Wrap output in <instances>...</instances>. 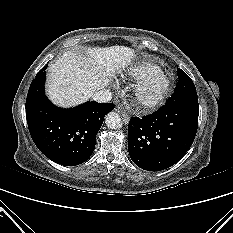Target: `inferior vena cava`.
<instances>
[{"label":"inferior vena cava","mask_w":233,"mask_h":233,"mask_svg":"<svg viewBox=\"0 0 233 233\" xmlns=\"http://www.w3.org/2000/svg\"><path fill=\"white\" fill-rule=\"evenodd\" d=\"M112 98L111 92L108 89H101L92 95V99L98 103L109 102Z\"/></svg>","instance_id":"1"}]
</instances>
